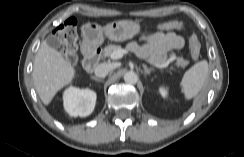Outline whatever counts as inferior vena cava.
Wrapping results in <instances>:
<instances>
[{"instance_id": "602c4592", "label": "inferior vena cava", "mask_w": 244, "mask_h": 157, "mask_svg": "<svg viewBox=\"0 0 244 157\" xmlns=\"http://www.w3.org/2000/svg\"><path fill=\"white\" fill-rule=\"evenodd\" d=\"M112 70V66L108 63H101L95 68V75L104 78Z\"/></svg>"}]
</instances>
